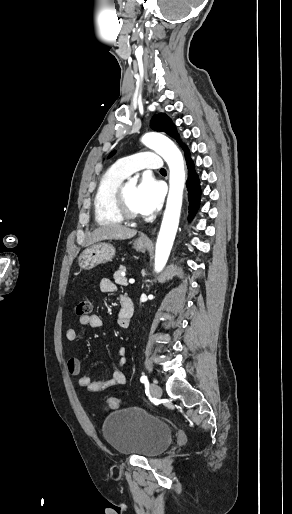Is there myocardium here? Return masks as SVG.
Listing matches in <instances>:
<instances>
[{"mask_svg": "<svg viewBox=\"0 0 292 514\" xmlns=\"http://www.w3.org/2000/svg\"><path fill=\"white\" fill-rule=\"evenodd\" d=\"M124 183L120 184L112 193L111 196V206L113 211L125 221L136 222L139 221L144 214L143 213H134L132 212L124 199Z\"/></svg>", "mask_w": 292, "mask_h": 514, "instance_id": "obj_1", "label": "myocardium"}]
</instances>
